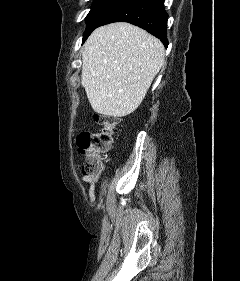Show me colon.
<instances>
[{"mask_svg":"<svg viewBox=\"0 0 240 281\" xmlns=\"http://www.w3.org/2000/svg\"><path fill=\"white\" fill-rule=\"evenodd\" d=\"M95 120L100 126L98 131L83 130L76 136L78 152L85 156L82 172L87 175H97L103 169L119 125V120L112 116L99 114Z\"/></svg>","mask_w":240,"mask_h":281,"instance_id":"colon-1","label":"colon"}]
</instances>
